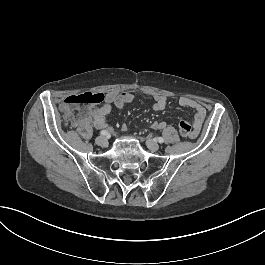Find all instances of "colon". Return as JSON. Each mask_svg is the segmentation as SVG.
I'll return each mask as SVG.
<instances>
[{"instance_id": "1", "label": "colon", "mask_w": 265, "mask_h": 265, "mask_svg": "<svg viewBox=\"0 0 265 265\" xmlns=\"http://www.w3.org/2000/svg\"><path fill=\"white\" fill-rule=\"evenodd\" d=\"M105 97L102 92L79 93L68 99L62 100L59 105V112L63 119L72 120L77 117L78 109L90 106H99L104 103ZM180 134L184 138H193L194 128L189 120L180 121Z\"/></svg>"}]
</instances>
